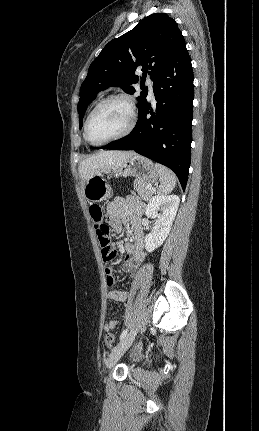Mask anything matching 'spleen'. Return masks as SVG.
I'll list each match as a JSON object with an SVG mask.
<instances>
[{
	"label": "spleen",
	"instance_id": "1",
	"mask_svg": "<svg viewBox=\"0 0 259 431\" xmlns=\"http://www.w3.org/2000/svg\"><path fill=\"white\" fill-rule=\"evenodd\" d=\"M155 167L159 174L160 186L158 193L159 194H168L170 193L176 186V176L175 174L168 169L167 167L156 163Z\"/></svg>",
	"mask_w": 259,
	"mask_h": 431
}]
</instances>
